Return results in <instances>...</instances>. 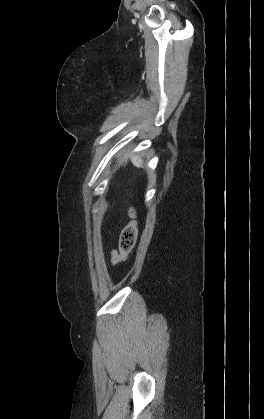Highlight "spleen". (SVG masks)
<instances>
[{
  "label": "spleen",
  "mask_w": 264,
  "mask_h": 419,
  "mask_svg": "<svg viewBox=\"0 0 264 419\" xmlns=\"http://www.w3.org/2000/svg\"><path fill=\"white\" fill-rule=\"evenodd\" d=\"M131 161L133 163L134 166L136 167H142V160L140 159L139 156H133L131 158Z\"/></svg>",
  "instance_id": "1"
}]
</instances>
